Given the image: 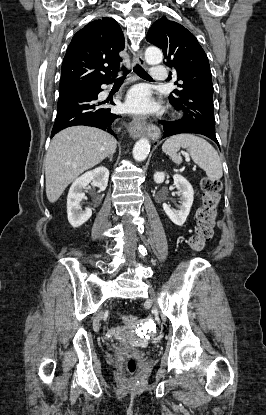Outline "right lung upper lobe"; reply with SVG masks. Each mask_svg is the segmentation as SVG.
Returning a JSON list of instances; mask_svg holds the SVG:
<instances>
[{
	"mask_svg": "<svg viewBox=\"0 0 266 415\" xmlns=\"http://www.w3.org/2000/svg\"><path fill=\"white\" fill-rule=\"evenodd\" d=\"M124 47V35L116 20L105 17L87 24L67 48L59 95L114 80Z\"/></svg>",
	"mask_w": 266,
	"mask_h": 415,
	"instance_id": "1",
	"label": "right lung upper lobe"
}]
</instances>
